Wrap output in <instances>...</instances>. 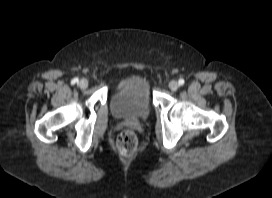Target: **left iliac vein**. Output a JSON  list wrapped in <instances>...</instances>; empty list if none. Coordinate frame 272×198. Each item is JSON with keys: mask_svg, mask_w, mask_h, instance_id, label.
Returning <instances> with one entry per match:
<instances>
[{"mask_svg": "<svg viewBox=\"0 0 272 198\" xmlns=\"http://www.w3.org/2000/svg\"><path fill=\"white\" fill-rule=\"evenodd\" d=\"M169 88H170L172 91H176V90H178V88H179V83H178L177 81L173 80V81H171V82L169 83Z\"/></svg>", "mask_w": 272, "mask_h": 198, "instance_id": "1", "label": "left iliac vein"}]
</instances>
